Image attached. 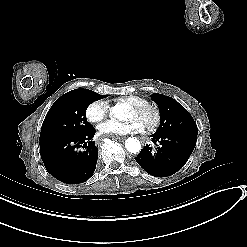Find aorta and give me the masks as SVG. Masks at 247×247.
Wrapping results in <instances>:
<instances>
[{"label":"aorta","instance_id":"aorta-1","mask_svg":"<svg viewBox=\"0 0 247 247\" xmlns=\"http://www.w3.org/2000/svg\"><path fill=\"white\" fill-rule=\"evenodd\" d=\"M128 112L129 109L128 107L123 104V103H119L116 104L115 106H113L110 110V113L118 120L120 121H124L127 119L128 117ZM125 148L127 149V151H129L130 153H138L141 150V144L140 141L135 138V137H129L126 141H125Z\"/></svg>","mask_w":247,"mask_h":247}]
</instances>
